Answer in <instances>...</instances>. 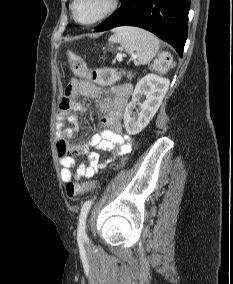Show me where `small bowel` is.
I'll return each mask as SVG.
<instances>
[{"label":"small bowel","instance_id":"1","mask_svg":"<svg viewBox=\"0 0 233 284\" xmlns=\"http://www.w3.org/2000/svg\"><path fill=\"white\" fill-rule=\"evenodd\" d=\"M131 89L129 84H120L111 89L108 97H103L100 89L87 80L72 79L68 83L57 114L60 131L56 149L62 165L63 182L91 178L118 155L127 154L131 150L130 137L123 132L121 125ZM79 96L96 99L102 117L98 132L91 135L88 142L70 144L67 139L78 131V114L84 111V106L78 100ZM64 121H68L73 127L63 128ZM89 147H93L94 151H90ZM101 152H108L105 161H100ZM81 154L87 155L88 163H81L73 172L74 156Z\"/></svg>","mask_w":233,"mask_h":284}]
</instances>
